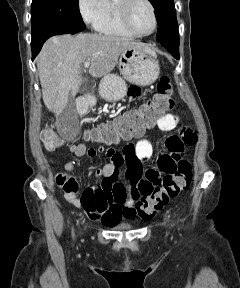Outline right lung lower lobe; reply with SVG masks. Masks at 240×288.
<instances>
[{"label": "right lung lower lobe", "instance_id": "1", "mask_svg": "<svg viewBox=\"0 0 240 288\" xmlns=\"http://www.w3.org/2000/svg\"><path fill=\"white\" fill-rule=\"evenodd\" d=\"M84 29H80V28H72V27H56L53 29H50L48 31H46L41 37L40 39L34 43L31 44V48H32V60L36 57V55L39 53V51L42 48L43 43L51 36L53 35H60V34H65V33H69V34H75L77 32H80Z\"/></svg>", "mask_w": 240, "mask_h": 288}]
</instances>
